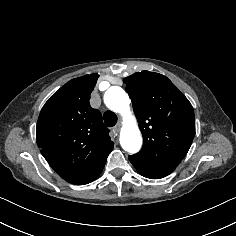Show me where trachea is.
<instances>
[{
    "instance_id": "trachea-1",
    "label": "trachea",
    "mask_w": 236,
    "mask_h": 236,
    "mask_svg": "<svg viewBox=\"0 0 236 236\" xmlns=\"http://www.w3.org/2000/svg\"><path fill=\"white\" fill-rule=\"evenodd\" d=\"M103 119H104L105 124L108 127L114 126L117 123V120H118L117 116L111 111L105 112L104 115H103Z\"/></svg>"
}]
</instances>
